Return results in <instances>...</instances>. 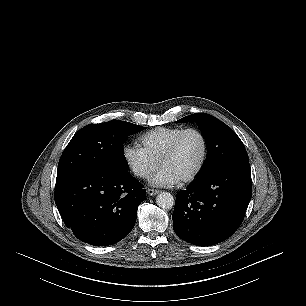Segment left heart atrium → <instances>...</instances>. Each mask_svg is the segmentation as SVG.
Segmentation results:
<instances>
[{
    "label": "left heart atrium",
    "instance_id": "39dd6f15",
    "mask_svg": "<svg viewBox=\"0 0 306 306\" xmlns=\"http://www.w3.org/2000/svg\"><path fill=\"white\" fill-rule=\"evenodd\" d=\"M179 178L168 169L162 168L151 180V184L156 186H173L179 183Z\"/></svg>",
    "mask_w": 306,
    "mask_h": 306
}]
</instances>
